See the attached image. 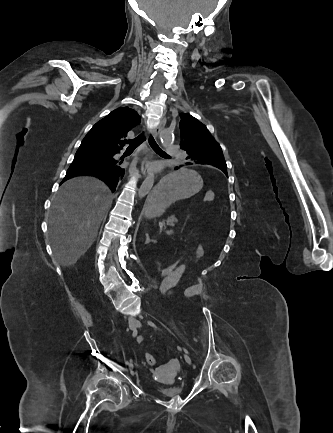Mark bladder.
<instances>
[{
  "label": "bladder",
  "instance_id": "bladder-1",
  "mask_svg": "<svg viewBox=\"0 0 333 433\" xmlns=\"http://www.w3.org/2000/svg\"><path fill=\"white\" fill-rule=\"evenodd\" d=\"M158 393L164 398L180 397L183 394V387L180 385L163 387L158 390Z\"/></svg>",
  "mask_w": 333,
  "mask_h": 433
}]
</instances>
